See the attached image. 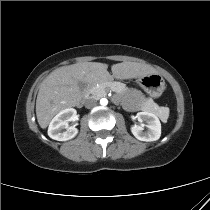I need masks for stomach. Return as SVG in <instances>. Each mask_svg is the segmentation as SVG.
<instances>
[{
    "mask_svg": "<svg viewBox=\"0 0 210 210\" xmlns=\"http://www.w3.org/2000/svg\"><path fill=\"white\" fill-rule=\"evenodd\" d=\"M137 81L143 90L154 98L161 96L165 90V81L157 73L142 76Z\"/></svg>",
    "mask_w": 210,
    "mask_h": 210,
    "instance_id": "1",
    "label": "stomach"
}]
</instances>
